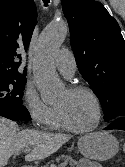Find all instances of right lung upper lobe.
<instances>
[{
    "mask_svg": "<svg viewBox=\"0 0 125 167\" xmlns=\"http://www.w3.org/2000/svg\"><path fill=\"white\" fill-rule=\"evenodd\" d=\"M36 23L33 0H0V77H25L19 52L27 50Z\"/></svg>",
    "mask_w": 125,
    "mask_h": 167,
    "instance_id": "cb5924a9",
    "label": "right lung upper lobe"
}]
</instances>
